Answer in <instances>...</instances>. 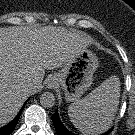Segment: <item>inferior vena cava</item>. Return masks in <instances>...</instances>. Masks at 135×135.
Here are the masks:
<instances>
[{"label": "inferior vena cava", "instance_id": "1", "mask_svg": "<svg viewBox=\"0 0 135 135\" xmlns=\"http://www.w3.org/2000/svg\"><path fill=\"white\" fill-rule=\"evenodd\" d=\"M34 87V84L33 83H29L28 85H27V89H32Z\"/></svg>", "mask_w": 135, "mask_h": 135}]
</instances>
